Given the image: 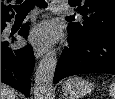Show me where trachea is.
Wrapping results in <instances>:
<instances>
[{"label":"trachea","mask_w":115,"mask_h":99,"mask_svg":"<svg viewBox=\"0 0 115 99\" xmlns=\"http://www.w3.org/2000/svg\"><path fill=\"white\" fill-rule=\"evenodd\" d=\"M35 6H38L39 8H46L47 3L45 0H25L21 5L15 6L14 10L17 12V16H25Z\"/></svg>","instance_id":"obj_1"}]
</instances>
